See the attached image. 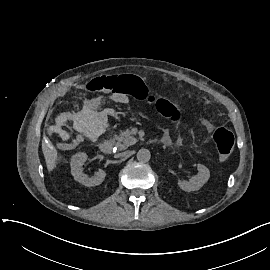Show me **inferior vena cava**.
<instances>
[{
	"label": "inferior vena cava",
	"instance_id": "inferior-vena-cava-1",
	"mask_svg": "<svg viewBox=\"0 0 270 270\" xmlns=\"http://www.w3.org/2000/svg\"><path fill=\"white\" fill-rule=\"evenodd\" d=\"M126 154H127V151H126V152L121 153V155H126Z\"/></svg>",
	"mask_w": 270,
	"mask_h": 270
}]
</instances>
